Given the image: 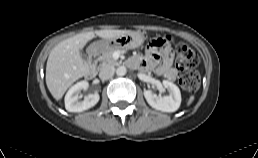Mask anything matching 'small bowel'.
I'll return each instance as SVG.
<instances>
[{"instance_id":"c3829d8e","label":"small bowel","mask_w":258,"mask_h":158,"mask_svg":"<svg viewBox=\"0 0 258 158\" xmlns=\"http://www.w3.org/2000/svg\"><path fill=\"white\" fill-rule=\"evenodd\" d=\"M128 64L142 71L153 70L161 77L174 81L177 70L173 66V50L166 44L160 49L148 48L144 56L132 57Z\"/></svg>"}]
</instances>
